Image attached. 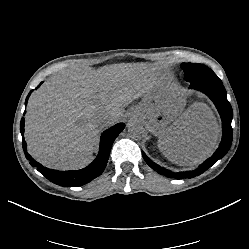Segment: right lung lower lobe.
<instances>
[{
    "label": "right lung lower lobe",
    "instance_id": "right-lung-lower-lobe-1",
    "mask_svg": "<svg viewBox=\"0 0 249 249\" xmlns=\"http://www.w3.org/2000/svg\"><path fill=\"white\" fill-rule=\"evenodd\" d=\"M31 92L28 94L26 98L25 105L27 104ZM124 127L125 125L123 123H119L109 128L108 130L104 131L103 134L101 135L100 149L96 159L86 168L76 171L52 170L36 162L27 153V145L24 140V118L21 119L20 132L22 134L23 150L25 152L26 158L30 161V164L33 167H37V170L41 174H43L47 179H49L51 182L64 187H74V186L84 185L102 174L107 165L112 144L116 139V137L119 135V133L124 129Z\"/></svg>",
    "mask_w": 249,
    "mask_h": 249
}]
</instances>
